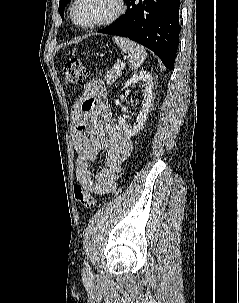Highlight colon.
Returning a JSON list of instances; mask_svg holds the SVG:
<instances>
[{
    "mask_svg": "<svg viewBox=\"0 0 239 303\" xmlns=\"http://www.w3.org/2000/svg\"><path fill=\"white\" fill-rule=\"evenodd\" d=\"M63 81L66 85H76L83 81L85 76V67L80 60L73 58L66 61L62 65ZM75 200L86 209H91L95 206L96 198L88 191H85L81 186H74Z\"/></svg>",
    "mask_w": 239,
    "mask_h": 303,
    "instance_id": "obj_1",
    "label": "colon"
}]
</instances>
